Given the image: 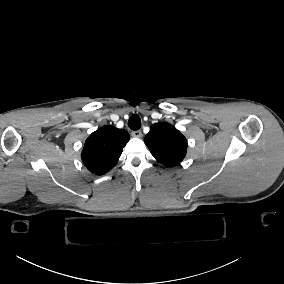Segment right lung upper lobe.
Returning <instances> with one entry per match:
<instances>
[{"mask_svg":"<svg viewBox=\"0 0 284 284\" xmlns=\"http://www.w3.org/2000/svg\"><path fill=\"white\" fill-rule=\"evenodd\" d=\"M129 138L124 129L103 126L87 138L81 154L82 161L91 173L103 175L117 164Z\"/></svg>","mask_w":284,"mask_h":284,"instance_id":"right-lung-upper-lobe-1","label":"right lung upper lobe"}]
</instances>
